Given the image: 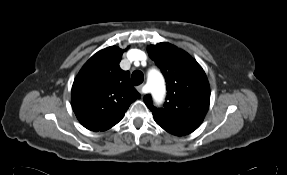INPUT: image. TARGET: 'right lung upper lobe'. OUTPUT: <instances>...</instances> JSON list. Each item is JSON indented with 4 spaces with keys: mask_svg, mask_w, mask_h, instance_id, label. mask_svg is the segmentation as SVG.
<instances>
[{
    "mask_svg": "<svg viewBox=\"0 0 287 175\" xmlns=\"http://www.w3.org/2000/svg\"><path fill=\"white\" fill-rule=\"evenodd\" d=\"M123 52L116 46L100 50L74 80L72 108L80 123L91 131L116 125L130 104L140 98L130 82V73L119 66Z\"/></svg>",
    "mask_w": 287,
    "mask_h": 175,
    "instance_id": "obj_1",
    "label": "right lung upper lobe"
}]
</instances>
